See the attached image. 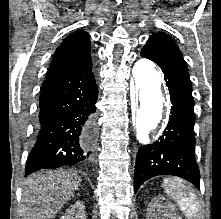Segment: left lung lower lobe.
<instances>
[{"mask_svg":"<svg viewBox=\"0 0 221 219\" xmlns=\"http://www.w3.org/2000/svg\"><path fill=\"white\" fill-rule=\"evenodd\" d=\"M142 57L154 61L163 71L172 103L171 115L163 135L137 154L134 171L135 193L143 182L157 175H175L200 188L195 160L194 100L187 68L175 58L143 47Z\"/></svg>","mask_w":221,"mask_h":219,"instance_id":"1","label":"left lung lower lobe"}]
</instances>
